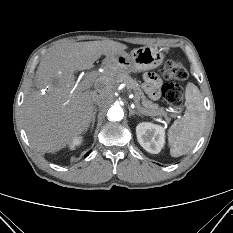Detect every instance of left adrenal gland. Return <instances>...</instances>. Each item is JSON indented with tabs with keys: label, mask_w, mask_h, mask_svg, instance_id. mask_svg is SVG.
Wrapping results in <instances>:
<instances>
[{
	"label": "left adrenal gland",
	"mask_w": 233,
	"mask_h": 233,
	"mask_svg": "<svg viewBox=\"0 0 233 233\" xmlns=\"http://www.w3.org/2000/svg\"><path fill=\"white\" fill-rule=\"evenodd\" d=\"M129 109V117L133 116V115H138V116H142L143 112L139 110H133L131 107H128Z\"/></svg>",
	"instance_id": "a2214340"
}]
</instances>
